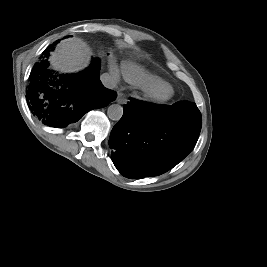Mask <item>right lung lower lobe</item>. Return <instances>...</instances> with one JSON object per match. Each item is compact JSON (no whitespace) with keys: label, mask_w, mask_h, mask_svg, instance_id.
<instances>
[{"label":"right lung lower lobe","mask_w":267,"mask_h":267,"mask_svg":"<svg viewBox=\"0 0 267 267\" xmlns=\"http://www.w3.org/2000/svg\"><path fill=\"white\" fill-rule=\"evenodd\" d=\"M44 54L48 56V52ZM99 69V60L95 59L83 72L57 75L49 69L47 60L37 62L26 92L31 113L47 126L63 128L77 122L90 110L107 106L115 100L116 92L102 85Z\"/></svg>","instance_id":"right-lung-lower-lobe-1"}]
</instances>
